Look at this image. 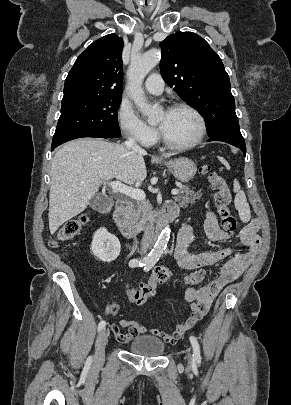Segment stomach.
<instances>
[{
    "label": "stomach",
    "mask_w": 291,
    "mask_h": 405,
    "mask_svg": "<svg viewBox=\"0 0 291 405\" xmlns=\"http://www.w3.org/2000/svg\"><path fill=\"white\" fill-rule=\"evenodd\" d=\"M173 176L181 182H189L196 174L195 163L188 158H178L164 162Z\"/></svg>",
    "instance_id": "1"
}]
</instances>
